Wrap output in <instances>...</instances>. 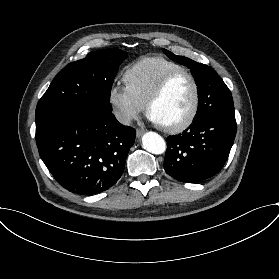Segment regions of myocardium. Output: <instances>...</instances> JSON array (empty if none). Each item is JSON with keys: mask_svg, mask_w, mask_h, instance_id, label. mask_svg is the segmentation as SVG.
I'll return each instance as SVG.
<instances>
[{"mask_svg": "<svg viewBox=\"0 0 279 279\" xmlns=\"http://www.w3.org/2000/svg\"><path fill=\"white\" fill-rule=\"evenodd\" d=\"M181 75H186L188 76L194 86L195 90V95H194V102L192 105V108L189 112V114L179 123L174 124V125H162L161 127L168 133H178L181 132L185 129H187L195 120L199 108H200V101H201V91H200V86L195 78V76L186 69L183 70H178L172 73H169L166 75L161 82L157 85V87L152 91L150 94L148 101H147V113L151 116V109L154 103L165 93V91L168 89L170 84L179 76Z\"/></svg>", "mask_w": 279, "mask_h": 279, "instance_id": "obj_1", "label": "myocardium"}]
</instances>
